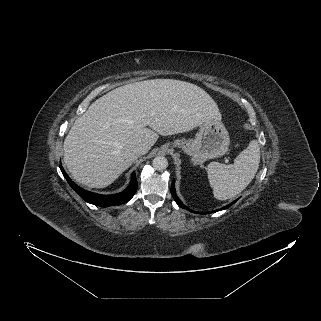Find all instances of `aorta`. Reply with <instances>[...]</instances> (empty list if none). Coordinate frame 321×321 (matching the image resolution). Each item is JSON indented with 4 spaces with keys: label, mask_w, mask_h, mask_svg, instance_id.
Here are the masks:
<instances>
[{
    "label": "aorta",
    "mask_w": 321,
    "mask_h": 321,
    "mask_svg": "<svg viewBox=\"0 0 321 321\" xmlns=\"http://www.w3.org/2000/svg\"><path fill=\"white\" fill-rule=\"evenodd\" d=\"M152 165L156 170H165L168 167V160L164 156H157L153 159Z\"/></svg>",
    "instance_id": "762f6f07"
}]
</instances>
